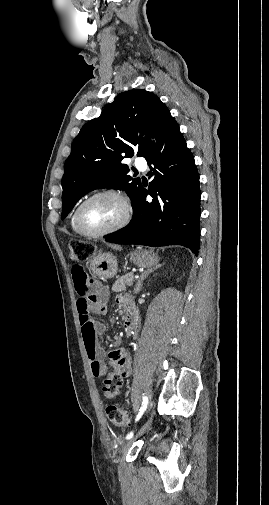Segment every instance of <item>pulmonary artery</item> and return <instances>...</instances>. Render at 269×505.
<instances>
[{"label": "pulmonary artery", "instance_id": "1", "mask_svg": "<svg viewBox=\"0 0 269 505\" xmlns=\"http://www.w3.org/2000/svg\"><path fill=\"white\" fill-rule=\"evenodd\" d=\"M135 166H136V167H137L140 171H143V172H144V171H146V169H147V163H146V161H145L144 159H141V158H139V159H137V160L135 161Z\"/></svg>", "mask_w": 269, "mask_h": 505}]
</instances>
